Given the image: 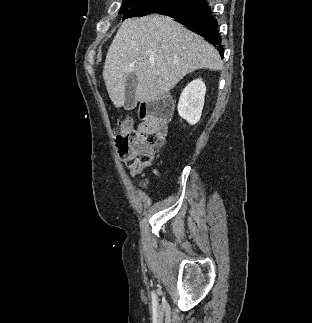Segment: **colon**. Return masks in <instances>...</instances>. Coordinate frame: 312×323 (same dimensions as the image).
Returning a JSON list of instances; mask_svg holds the SVG:
<instances>
[{"instance_id": "1", "label": "colon", "mask_w": 312, "mask_h": 323, "mask_svg": "<svg viewBox=\"0 0 312 323\" xmlns=\"http://www.w3.org/2000/svg\"><path fill=\"white\" fill-rule=\"evenodd\" d=\"M165 136L166 117L157 105L150 107L147 118L139 126L133 124L131 116H125L120 120L118 138L123 141H116V158H129L127 165L132 172L149 167Z\"/></svg>"}]
</instances>
